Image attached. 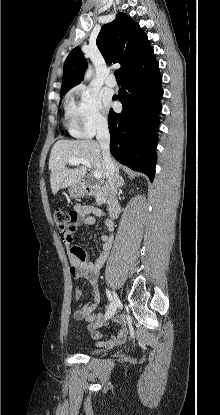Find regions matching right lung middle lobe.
<instances>
[{"label":"right lung middle lobe","mask_w":220,"mask_h":415,"mask_svg":"<svg viewBox=\"0 0 220 415\" xmlns=\"http://www.w3.org/2000/svg\"><path fill=\"white\" fill-rule=\"evenodd\" d=\"M66 92L60 93V97H62Z\"/></svg>","instance_id":"obj_1"}]
</instances>
